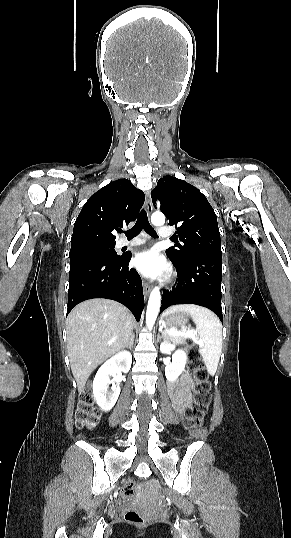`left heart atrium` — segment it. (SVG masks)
<instances>
[{
  "instance_id": "left-heart-atrium-1",
  "label": "left heart atrium",
  "mask_w": 291,
  "mask_h": 538,
  "mask_svg": "<svg viewBox=\"0 0 291 538\" xmlns=\"http://www.w3.org/2000/svg\"><path fill=\"white\" fill-rule=\"evenodd\" d=\"M135 267L144 276L157 278L169 273V267L164 259L155 250H148L138 254L134 260Z\"/></svg>"
}]
</instances>
